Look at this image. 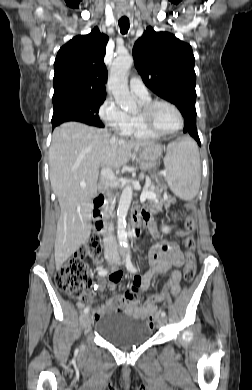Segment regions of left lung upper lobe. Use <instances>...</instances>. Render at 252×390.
Instances as JSON below:
<instances>
[{"instance_id": "left-lung-upper-lobe-1", "label": "left lung upper lobe", "mask_w": 252, "mask_h": 390, "mask_svg": "<svg viewBox=\"0 0 252 390\" xmlns=\"http://www.w3.org/2000/svg\"><path fill=\"white\" fill-rule=\"evenodd\" d=\"M132 53L148 88L176 105L184 118L196 115L195 58L189 44L171 33L155 32L147 27Z\"/></svg>"}]
</instances>
